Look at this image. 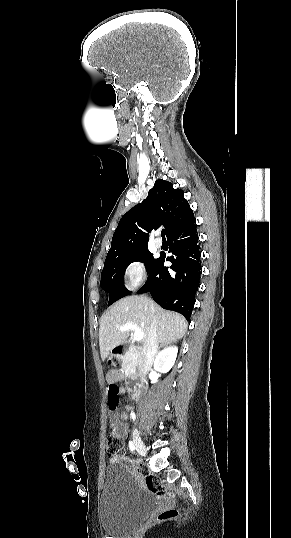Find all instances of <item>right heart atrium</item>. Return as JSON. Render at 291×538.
I'll use <instances>...</instances> for the list:
<instances>
[{
  "mask_svg": "<svg viewBox=\"0 0 291 538\" xmlns=\"http://www.w3.org/2000/svg\"><path fill=\"white\" fill-rule=\"evenodd\" d=\"M124 275L128 288H136L141 285L146 278V267L142 260H130L124 267Z\"/></svg>",
  "mask_w": 291,
  "mask_h": 538,
  "instance_id": "right-heart-atrium-1",
  "label": "right heart atrium"
}]
</instances>
